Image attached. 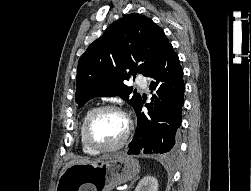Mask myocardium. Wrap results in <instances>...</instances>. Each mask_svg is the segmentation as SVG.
Returning <instances> with one entry per match:
<instances>
[{"label":"myocardium","instance_id":"f54148a6","mask_svg":"<svg viewBox=\"0 0 251 191\" xmlns=\"http://www.w3.org/2000/svg\"><path fill=\"white\" fill-rule=\"evenodd\" d=\"M104 111H113L117 113L118 115L121 116V118L123 119L125 123V129H124V133L121 140L118 143L108 146V147L98 146L90 138V127L93 120L98 114ZM131 129H132L131 120L121 109L111 104H104V105H100L92 109L89 112V114L85 117L82 123V127H81V138L85 147L89 149L90 151L96 154L107 153V152H112L121 148L127 142L131 133Z\"/></svg>","mask_w":251,"mask_h":191}]
</instances>
